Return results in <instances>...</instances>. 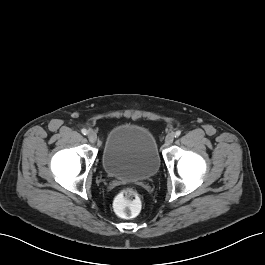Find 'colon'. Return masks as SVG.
<instances>
[{
	"instance_id": "1",
	"label": "colon",
	"mask_w": 265,
	"mask_h": 265,
	"mask_svg": "<svg viewBox=\"0 0 265 265\" xmlns=\"http://www.w3.org/2000/svg\"><path fill=\"white\" fill-rule=\"evenodd\" d=\"M114 207L120 216L124 218H133L140 211V197L134 189L125 188L116 196Z\"/></svg>"
}]
</instances>
